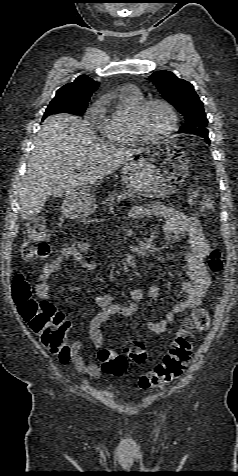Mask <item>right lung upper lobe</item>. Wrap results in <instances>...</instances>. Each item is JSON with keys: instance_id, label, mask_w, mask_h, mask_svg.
Masks as SVG:
<instances>
[{"instance_id": "right-lung-upper-lobe-1", "label": "right lung upper lobe", "mask_w": 238, "mask_h": 476, "mask_svg": "<svg viewBox=\"0 0 238 476\" xmlns=\"http://www.w3.org/2000/svg\"><path fill=\"white\" fill-rule=\"evenodd\" d=\"M98 82L86 75L78 76L73 82L61 87L56 92V97H66L77 104H87L92 93L97 89Z\"/></svg>"}]
</instances>
